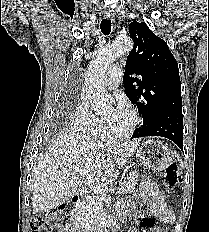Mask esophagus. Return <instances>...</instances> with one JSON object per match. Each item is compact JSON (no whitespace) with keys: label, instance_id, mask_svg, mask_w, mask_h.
<instances>
[{"label":"esophagus","instance_id":"esophagus-1","mask_svg":"<svg viewBox=\"0 0 209 232\" xmlns=\"http://www.w3.org/2000/svg\"><path fill=\"white\" fill-rule=\"evenodd\" d=\"M103 16L106 19H112V20H114V13H112L110 10L103 11Z\"/></svg>","mask_w":209,"mask_h":232}]
</instances>
